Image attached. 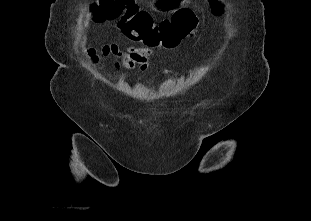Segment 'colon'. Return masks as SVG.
I'll return each instance as SVG.
<instances>
[{"label": "colon", "mask_w": 311, "mask_h": 221, "mask_svg": "<svg viewBox=\"0 0 311 221\" xmlns=\"http://www.w3.org/2000/svg\"><path fill=\"white\" fill-rule=\"evenodd\" d=\"M208 9H212L213 17H224L226 12L223 6L215 0H206ZM97 15L93 11L86 19L101 26L103 22H113L114 17L119 19V31L126 32V39L143 42L146 47L158 49H172L182 38L190 37L197 30V23L190 11H178L171 18L163 19L160 24L150 22V13L138 7L134 0H107L96 1ZM94 52V51H91ZM101 53H107V48H102Z\"/></svg>", "instance_id": "1"}]
</instances>
